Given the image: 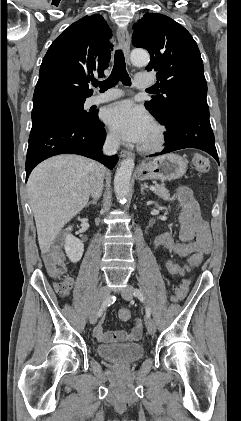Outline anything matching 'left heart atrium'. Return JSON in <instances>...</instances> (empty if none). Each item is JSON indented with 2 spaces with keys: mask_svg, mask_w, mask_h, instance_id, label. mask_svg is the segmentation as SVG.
<instances>
[{
  "mask_svg": "<svg viewBox=\"0 0 241 421\" xmlns=\"http://www.w3.org/2000/svg\"><path fill=\"white\" fill-rule=\"evenodd\" d=\"M104 121L126 142L143 143L152 128L150 116L131 100L110 105L104 112Z\"/></svg>",
  "mask_w": 241,
  "mask_h": 421,
  "instance_id": "obj_1",
  "label": "left heart atrium"
}]
</instances>
